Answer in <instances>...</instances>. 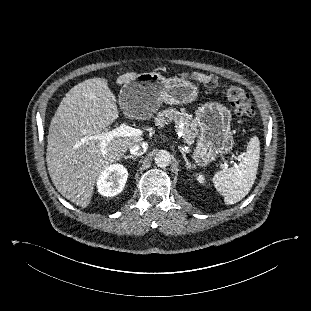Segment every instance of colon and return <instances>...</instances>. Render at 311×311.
I'll return each instance as SVG.
<instances>
[{
  "mask_svg": "<svg viewBox=\"0 0 311 311\" xmlns=\"http://www.w3.org/2000/svg\"><path fill=\"white\" fill-rule=\"evenodd\" d=\"M190 78L208 88H216L219 85L218 78L212 74L194 72ZM227 97L233 107L237 124L242 127L249 126L255 113L250 96L241 87L231 86L227 90Z\"/></svg>",
  "mask_w": 311,
  "mask_h": 311,
  "instance_id": "5ec220e1",
  "label": "colon"
}]
</instances>
